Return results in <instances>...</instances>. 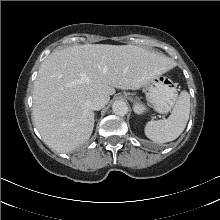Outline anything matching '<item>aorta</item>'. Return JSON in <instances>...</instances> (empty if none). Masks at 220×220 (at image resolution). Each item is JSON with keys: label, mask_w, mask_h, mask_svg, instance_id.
Masks as SVG:
<instances>
[{"label": "aorta", "mask_w": 220, "mask_h": 220, "mask_svg": "<svg viewBox=\"0 0 220 220\" xmlns=\"http://www.w3.org/2000/svg\"><path fill=\"white\" fill-rule=\"evenodd\" d=\"M112 110L118 116H125L128 113V105L122 100H117L113 102Z\"/></svg>", "instance_id": "aorta-1"}]
</instances>
